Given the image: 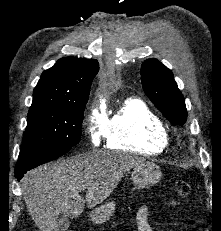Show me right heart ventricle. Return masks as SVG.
Returning <instances> with one entry per match:
<instances>
[{
	"instance_id": "obj_1",
	"label": "right heart ventricle",
	"mask_w": 221,
	"mask_h": 231,
	"mask_svg": "<svg viewBox=\"0 0 221 231\" xmlns=\"http://www.w3.org/2000/svg\"><path fill=\"white\" fill-rule=\"evenodd\" d=\"M106 147L142 155L161 154L167 145L163 121L140 99L125 100L109 117Z\"/></svg>"
}]
</instances>
